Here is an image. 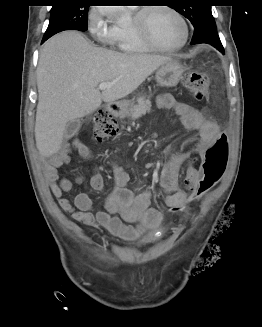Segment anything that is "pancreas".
<instances>
[{"mask_svg":"<svg viewBox=\"0 0 262 327\" xmlns=\"http://www.w3.org/2000/svg\"><path fill=\"white\" fill-rule=\"evenodd\" d=\"M136 102L137 104L132 105L127 113L131 120L139 119L142 115L151 111V101L149 99L141 96L137 98Z\"/></svg>","mask_w":262,"mask_h":327,"instance_id":"cf45deb5","label":"pancreas"}]
</instances>
